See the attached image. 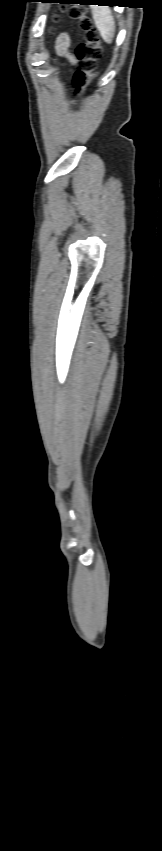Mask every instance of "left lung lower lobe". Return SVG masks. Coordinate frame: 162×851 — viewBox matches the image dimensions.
Instances as JSON below:
<instances>
[{"mask_svg": "<svg viewBox=\"0 0 162 851\" xmlns=\"http://www.w3.org/2000/svg\"><path fill=\"white\" fill-rule=\"evenodd\" d=\"M112 1H115V0H65V1H62V2H58V3H61V4H63V3H65V4L75 3V4H80V5H83V4L87 5V4H91V3H102V4L104 3L106 5H110V4H107V3H111ZM51 2H54V1H51ZM100 5L101 4H99V6Z\"/></svg>", "mask_w": 162, "mask_h": 851, "instance_id": "0a47b994", "label": "left lung lower lobe"}]
</instances>
